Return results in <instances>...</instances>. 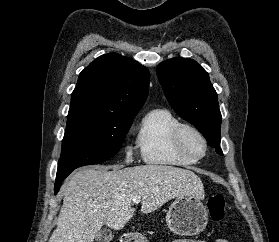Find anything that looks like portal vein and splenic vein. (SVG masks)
<instances>
[{
	"label": "portal vein and splenic vein",
	"mask_w": 279,
	"mask_h": 242,
	"mask_svg": "<svg viewBox=\"0 0 279 242\" xmlns=\"http://www.w3.org/2000/svg\"><path fill=\"white\" fill-rule=\"evenodd\" d=\"M140 200H141V198H140L139 196H135V197L132 199V201H133L134 204L140 203Z\"/></svg>",
	"instance_id": "1"
}]
</instances>
